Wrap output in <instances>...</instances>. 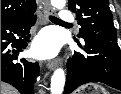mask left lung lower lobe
Here are the masks:
<instances>
[{
    "mask_svg": "<svg viewBox=\"0 0 121 94\" xmlns=\"http://www.w3.org/2000/svg\"><path fill=\"white\" fill-rule=\"evenodd\" d=\"M80 47L81 44L78 42ZM85 55L74 52L67 62L64 94H70L80 85L101 82L121 90V52L117 42L85 38Z\"/></svg>",
    "mask_w": 121,
    "mask_h": 94,
    "instance_id": "left-lung-lower-lobe-1",
    "label": "left lung lower lobe"
}]
</instances>
